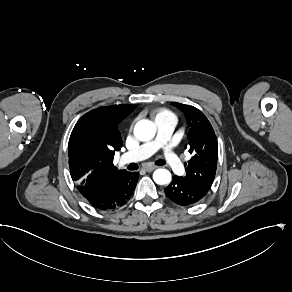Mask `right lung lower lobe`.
I'll use <instances>...</instances> for the list:
<instances>
[{
  "instance_id": "98d812e1",
  "label": "right lung lower lobe",
  "mask_w": 292,
  "mask_h": 292,
  "mask_svg": "<svg viewBox=\"0 0 292 292\" xmlns=\"http://www.w3.org/2000/svg\"><path fill=\"white\" fill-rule=\"evenodd\" d=\"M138 177V172L127 171L96 187L78 188V190L94 208L115 210L130 199Z\"/></svg>"
}]
</instances>
